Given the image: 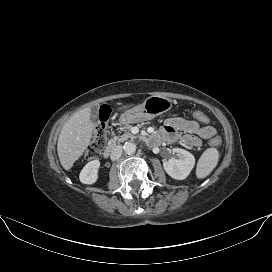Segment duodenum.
<instances>
[{
  "mask_svg": "<svg viewBox=\"0 0 272 272\" xmlns=\"http://www.w3.org/2000/svg\"><path fill=\"white\" fill-rule=\"evenodd\" d=\"M148 142H155L153 139V135H151L150 137L147 138ZM114 148V142H111L108 147L105 149L104 151V157H109L110 153L112 152Z\"/></svg>",
  "mask_w": 272,
  "mask_h": 272,
  "instance_id": "410a0bca",
  "label": "duodenum"
}]
</instances>
